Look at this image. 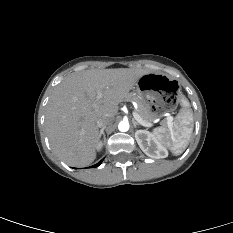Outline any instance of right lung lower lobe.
Returning a JSON list of instances; mask_svg holds the SVG:
<instances>
[{
	"label": "right lung lower lobe",
	"instance_id": "1",
	"mask_svg": "<svg viewBox=\"0 0 233 233\" xmlns=\"http://www.w3.org/2000/svg\"><path fill=\"white\" fill-rule=\"evenodd\" d=\"M101 163H102V160L100 162H98L97 164L91 166V167H98Z\"/></svg>",
	"mask_w": 233,
	"mask_h": 233
}]
</instances>
